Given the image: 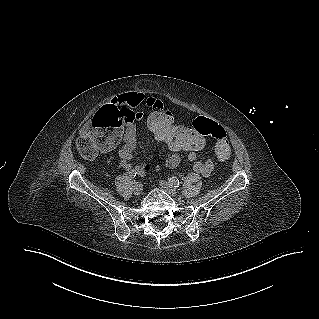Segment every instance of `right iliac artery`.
Here are the masks:
<instances>
[{
	"mask_svg": "<svg viewBox=\"0 0 319 319\" xmlns=\"http://www.w3.org/2000/svg\"><path fill=\"white\" fill-rule=\"evenodd\" d=\"M131 177H135L136 176V174H141L139 171H137V170H132L131 172Z\"/></svg>",
	"mask_w": 319,
	"mask_h": 319,
	"instance_id": "82829eb1",
	"label": "right iliac artery"
}]
</instances>
